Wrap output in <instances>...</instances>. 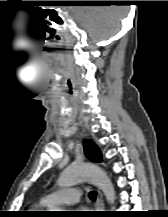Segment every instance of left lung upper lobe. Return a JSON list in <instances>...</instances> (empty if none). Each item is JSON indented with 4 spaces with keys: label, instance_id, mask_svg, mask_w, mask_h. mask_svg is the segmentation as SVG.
<instances>
[{
    "label": "left lung upper lobe",
    "instance_id": "1",
    "mask_svg": "<svg viewBox=\"0 0 168 217\" xmlns=\"http://www.w3.org/2000/svg\"><path fill=\"white\" fill-rule=\"evenodd\" d=\"M84 152L91 161H102V154L100 152V149L91 140H84Z\"/></svg>",
    "mask_w": 168,
    "mask_h": 217
}]
</instances>
